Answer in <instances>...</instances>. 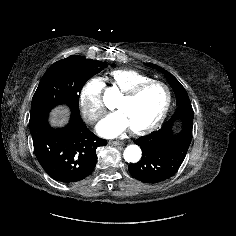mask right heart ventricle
I'll use <instances>...</instances> for the list:
<instances>
[{
	"mask_svg": "<svg viewBox=\"0 0 236 236\" xmlns=\"http://www.w3.org/2000/svg\"><path fill=\"white\" fill-rule=\"evenodd\" d=\"M145 73L129 68H119L112 70L106 81L112 88L117 89L121 94L128 92L136 85L151 80Z\"/></svg>",
	"mask_w": 236,
	"mask_h": 236,
	"instance_id": "1",
	"label": "right heart ventricle"
}]
</instances>
